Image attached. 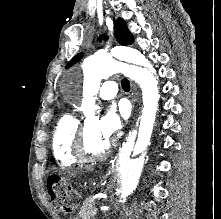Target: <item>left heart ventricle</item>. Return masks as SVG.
Returning <instances> with one entry per match:
<instances>
[{
  "instance_id": "left-heart-ventricle-1",
  "label": "left heart ventricle",
  "mask_w": 221,
  "mask_h": 219,
  "mask_svg": "<svg viewBox=\"0 0 221 219\" xmlns=\"http://www.w3.org/2000/svg\"><path fill=\"white\" fill-rule=\"evenodd\" d=\"M85 127V144L87 151L89 153L101 152L109 141L100 135L98 131V121L95 118H90L87 120Z\"/></svg>"
}]
</instances>
